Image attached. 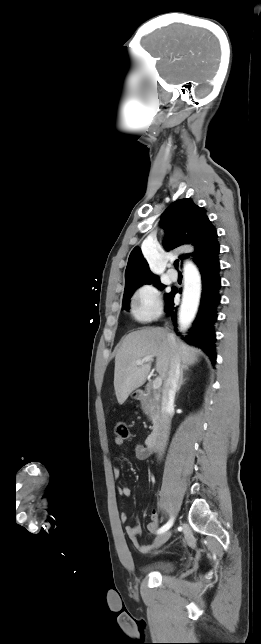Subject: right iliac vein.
Segmentation results:
<instances>
[{
	"instance_id": "1",
	"label": "right iliac vein",
	"mask_w": 261,
	"mask_h": 644,
	"mask_svg": "<svg viewBox=\"0 0 261 644\" xmlns=\"http://www.w3.org/2000/svg\"><path fill=\"white\" fill-rule=\"evenodd\" d=\"M170 536H171L170 531H167V532H164V533L158 535L154 540L155 545L156 546H161L162 544H164L165 542L168 541Z\"/></svg>"
}]
</instances>
